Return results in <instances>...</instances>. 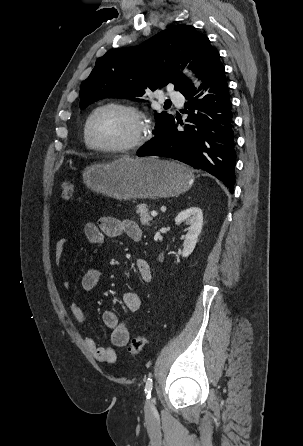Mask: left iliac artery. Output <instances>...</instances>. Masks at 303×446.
<instances>
[{
    "mask_svg": "<svg viewBox=\"0 0 303 446\" xmlns=\"http://www.w3.org/2000/svg\"><path fill=\"white\" fill-rule=\"evenodd\" d=\"M152 387H153L152 378L149 377L145 384V393L147 394V398L151 397Z\"/></svg>",
    "mask_w": 303,
    "mask_h": 446,
    "instance_id": "1",
    "label": "left iliac artery"
}]
</instances>
